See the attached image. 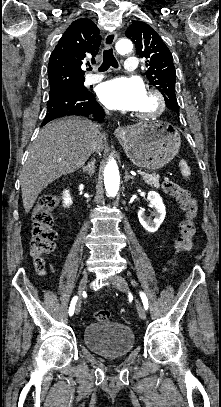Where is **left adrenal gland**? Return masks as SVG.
Here are the masks:
<instances>
[{
  "mask_svg": "<svg viewBox=\"0 0 221 407\" xmlns=\"http://www.w3.org/2000/svg\"><path fill=\"white\" fill-rule=\"evenodd\" d=\"M134 180V177L133 176H131L129 173H128V171L127 170H125V177H124V181L125 182H128V180Z\"/></svg>",
  "mask_w": 221,
  "mask_h": 407,
  "instance_id": "left-adrenal-gland-1",
  "label": "left adrenal gland"
}]
</instances>
